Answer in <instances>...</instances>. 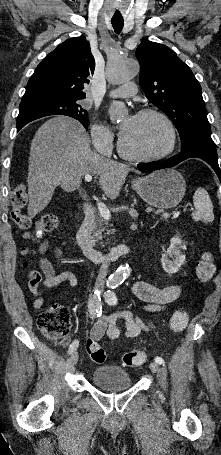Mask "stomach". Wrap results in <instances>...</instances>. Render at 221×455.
Wrapping results in <instances>:
<instances>
[{"instance_id":"obj_1","label":"stomach","mask_w":221,"mask_h":455,"mask_svg":"<svg viewBox=\"0 0 221 455\" xmlns=\"http://www.w3.org/2000/svg\"><path fill=\"white\" fill-rule=\"evenodd\" d=\"M132 186L147 204L159 209L177 206L186 191L185 179L175 169L155 171L134 180Z\"/></svg>"}]
</instances>
